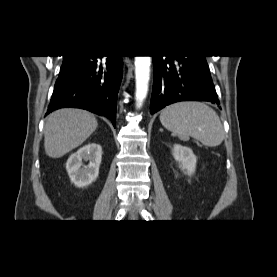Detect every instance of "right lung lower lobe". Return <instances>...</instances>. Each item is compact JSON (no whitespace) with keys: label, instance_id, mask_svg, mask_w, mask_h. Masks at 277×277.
<instances>
[{"label":"right lung lower lobe","instance_id":"98d812e1","mask_svg":"<svg viewBox=\"0 0 277 277\" xmlns=\"http://www.w3.org/2000/svg\"><path fill=\"white\" fill-rule=\"evenodd\" d=\"M74 56L60 69L47 114L64 107L86 109L116 124L122 56Z\"/></svg>","mask_w":277,"mask_h":277}]
</instances>
